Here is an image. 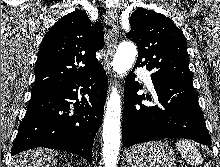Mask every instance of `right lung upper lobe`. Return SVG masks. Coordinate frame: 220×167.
<instances>
[{"label": "right lung upper lobe", "instance_id": "obj_1", "mask_svg": "<svg viewBox=\"0 0 220 167\" xmlns=\"http://www.w3.org/2000/svg\"><path fill=\"white\" fill-rule=\"evenodd\" d=\"M101 25L92 23L83 10L58 20L41 42L32 93L67 85L101 68L95 56L104 46Z\"/></svg>", "mask_w": 220, "mask_h": 167}]
</instances>
